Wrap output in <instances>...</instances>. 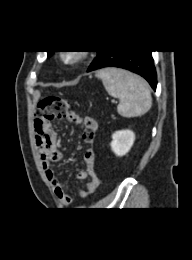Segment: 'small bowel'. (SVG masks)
<instances>
[{"label": "small bowel", "mask_w": 192, "mask_h": 260, "mask_svg": "<svg viewBox=\"0 0 192 260\" xmlns=\"http://www.w3.org/2000/svg\"><path fill=\"white\" fill-rule=\"evenodd\" d=\"M67 119L76 124L83 123L85 129L92 131L94 134L97 131V122L90 117H85L82 119L79 114L71 112ZM35 138L42 167L45 171L47 179L53 186L55 195L62 205H71L74 201L73 195L61 183L52 169V165L61 160L62 153L58 148L56 132L53 130L49 121L35 122ZM84 162L85 168L77 173V178L80 180L89 178V181L86 183L85 187L77 191L78 196L82 199H85L89 195L93 194L100 183L95 171V153L92 149L85 152Z\"/></svg>", "instance_id": "obj_1"}]
</instances>
